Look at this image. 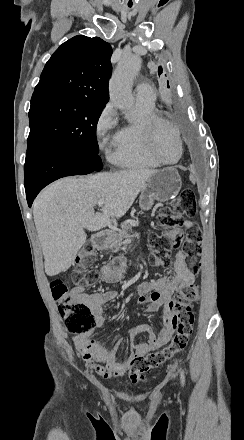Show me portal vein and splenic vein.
<instances>
[{
    "label": "portal vein and splenic vein",
    "instance_id": "1",
    "mask_svg": "<svg viewBox=\"0 0 244 440\" xmlns=\"http://www.w3.org/2000/svg\"><path fill=\"white\" fill-rule=\"evenodd\" d=\"M104 202H105L104 198H101V200H99V202H97V204H98V206H100V208H102Z\"/></svg>",
    "mask_w": 244,
    "mask_h": 440
}]
</instances>
